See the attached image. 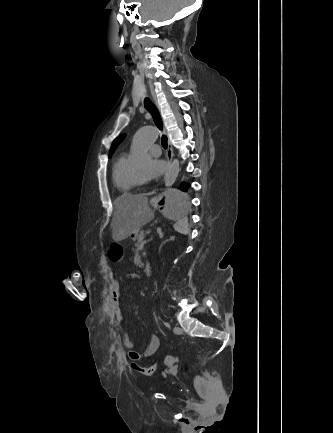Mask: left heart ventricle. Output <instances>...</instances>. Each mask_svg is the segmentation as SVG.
Masks as SVG:
<instances>
[{
	"instance_id": "1",
	"label": "left heart ventricle",
	"mask_w": 333,
	"mask_h": 433,
	"mask_svg": "<svg viewBox=\"0 0 333 433\" xmlns=\"http://www.w3.org/2000/svg\"><path fill=\"white\" fill-rule=\"evenodd\" d=\"M151 153H147V159L149 160L152 156ZM147 166V163H141V164H137L134 166V169L136 171V173L138 174L139 178H141L142 180H144V170Z\"/></svg>"
}]
</instances>
